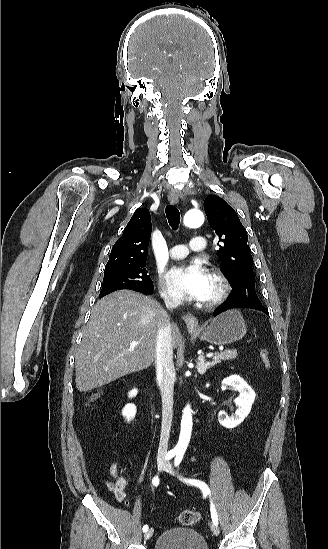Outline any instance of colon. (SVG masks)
<instances>
[{
  "instance_id": "5ec220e1",
  "label": "colon",
  "mask_w": 328,
  "mask_h": 549,
  "mask_svg": "<svg viewBox=\"0 0 328 549\" xmlns=\"http://www.w3.org/2000/svg\"><path fill=\"white\" fill-rule=\"evenodd\" d=\"M258 353H259V357H260L261 361L263 362L264 366L269 367L270 366V358H269L268 351L264 348H261V349H259ZM96 396H97V394H94L93 398H95ZM200 519H201L200 513L196 512V511H193V510H185L179 515V522L182 525H185V526L193 525V524L199 522Z\"/></svg>"
}]
</instances>
